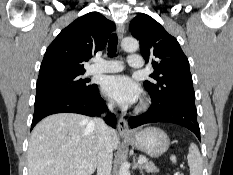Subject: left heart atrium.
Segmentation results:
<instances>
[{
    "instance_id": "obj_1",
    "label": "left heart atrium",
    "mask_w": 233,
    "mask_h": 175,
    "mask_svg": "<svg viewBox=\"0 0 233 175\" xmlns=\"http://www.w3.org/2000/svg\"><path fill=\"white\" fill-rule=\"evenodd\" d=\"M102 89L105 95L123 106L136 103L140 97V88L138 84L124 75L106 78Z\"/></svg>"
}]
</instances>
